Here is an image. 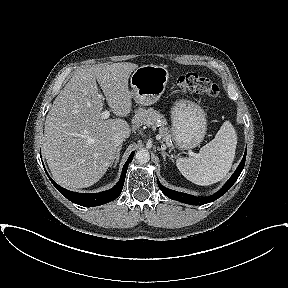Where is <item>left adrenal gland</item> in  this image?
<instances>
[{
  "mask_svg": "<svg viewBox=\"0 0 288 288\" xmlns=\"http://www.w3.org/2000/svg\"><path fill=\"white\" fill-rule=\"evenodd\" d=\"M158 150L161 152V155L165 161L166 157H168L170 160H172V162H174L173 160V155H169L168 153H166L164 150H165V147H161V148H158Z\"/></svg>",
  "mask_w": 288,
  "mask_h": 288,
  "instance_id": "a2214340",
  "label": "left adrenal gland"
}]
</instances>
